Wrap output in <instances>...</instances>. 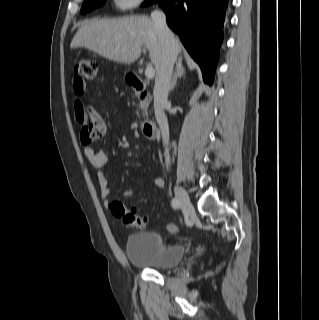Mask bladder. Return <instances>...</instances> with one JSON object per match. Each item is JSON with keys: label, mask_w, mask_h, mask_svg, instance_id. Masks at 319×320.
<instances>
[{"label": "bladder", "mask_w": 319, "mask_h": 320, "mask_svg": "<svg viewBox=\"0 0 319 320\" xmlns=\"http://www.w3.org/2000/svg\"><path fill=\"white\" fill-rule=\"evenodd\" d=\"M125 254L130 263L164 271L180 264L185 247L179 242H166L157 232H142L127 236Z\"/></svg>", "instance_id": "obj_1"}]
</instances>
